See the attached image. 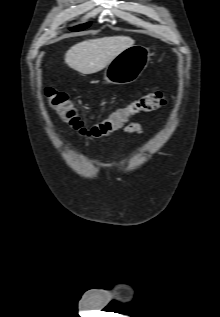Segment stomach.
Returning <instances> with one entry per match:
<instances>
[{"label":"stomach","mask_w":220,"mask_h":317,"mask_svg":"<svg viewBox=\"0 0 220 317\" xmlns=\"http://www.w3.org/2000/svg\"><path fill=\"white\" fill-rule=\"evenodd\" d=\"M150 61V51L142 45H133L118 54L104 71V80L111 84L135 82Z\"/></svg>","instance_id":"obj_1"}]
</instances>
